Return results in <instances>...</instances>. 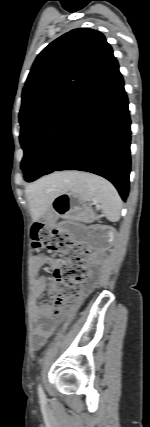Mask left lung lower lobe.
Instances as JSON below:
<instances>
[{"instance_id": "1", "label": "left lung lower lobe", "mask_w": 150, "mask_h": 427, "mask_svg": "<svg viewBox=\"0 0 150 427\" xmlns=\"http://www.w3.org/2000/svg\"><path fill=\"white\" fill-rule=\"evenodd\" d=\"M130 117L124 82L114 58L48 123L24 169L32 182L60 170H81L129 192Z\"/></svg>"}]
</instances>
